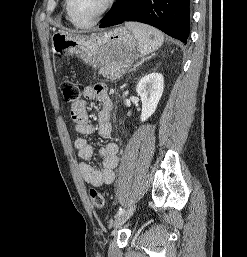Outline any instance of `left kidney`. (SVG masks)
<instances>
[{"label":"left kidney","instance_id":"obj_1","mask_svg":"<svg viewBox=\"0 0 247 257\" xmlns=\"http://www.w3.org/2000/svg\"><path fill=\"white\" fill-rule=\"evenodd\" d=\"M164 90V78L160 73L145 75L137 84L136 93L142 102L140 120L146 121L155 112Z\"/></svg>","mask_w":247,"mask_h":257}]
</instances>
